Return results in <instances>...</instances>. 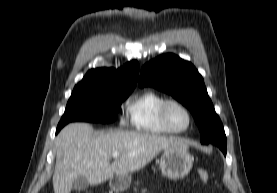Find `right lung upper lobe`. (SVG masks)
<instances>
[{
	"instance_id": "right-lung-upper-lobe-1",
	"label": "right lung upper lobe",
	"mask_w": 277,
	"mask_h": 193,
	"mask_svg": "<svg viewBox=\"0 0 277 193\" xmlns=\"http://www.w3.org/2000/svg\"><path fill=\"white\" fill-rule=\"evenodd\" d=\"M139 64L133 60L122 68H97L87 72L74 89L100 92H131L136 86Z\"/></svg>"
}]
</instances>
